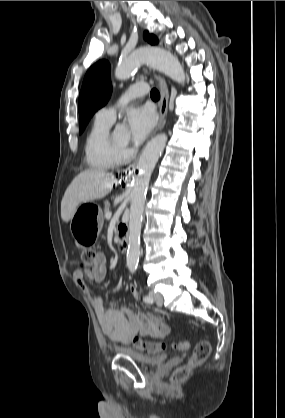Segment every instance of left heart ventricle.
<instances>
[{
  "instance_id": "1",
  "label": "left heart ventricle",
  "mask_w": 285,
  "mask_h": 418,
  "mask_svg": "<svg viewBox=\"0 0 285 418\" xmlns=\"http://www.w3.org/2000/svg\"><path fill=\"white\" fill-rule=\"evenodd\" d=\"M113 142L117 146H125L128 142L129 136L126 131H116L113 133Z\"/></svg>"
}]
</instances>
